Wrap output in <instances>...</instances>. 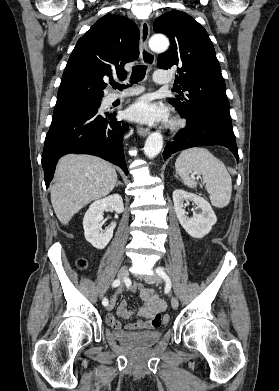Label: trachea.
Returning a JSON list of instances; mask_svg holds the SVG:
<instances>
[{
  "label": "trachea",
  "instance_id": "trachea-1",
  "mask_svg": "<svg viewBox=\"0 0 279 391\" xmlns=\"http://www.w3.org/2000/svg\"><path fill=\"white\" fill-rule=\"evenodd\" d=\"M147 66L145 65H136L132 68V74L130 78V84H136L139 81L143 80L146 74ZM111 86L115 89L122 90L126 88V85H122L116 82H111Z\"/></svg>",
  "mask_w": 279,
  "mask_h": 391
}]
</instances>
